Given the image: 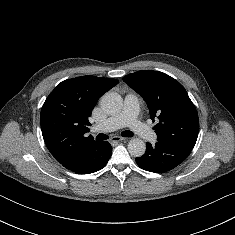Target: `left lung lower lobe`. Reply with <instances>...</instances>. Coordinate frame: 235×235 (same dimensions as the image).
I'll list each match as a JSON object with an SVG mask.
<instances>
[{"mask_svg":"<svg viewBox=\"0 0 235 235\" xmlns=\"http://www.w3.org/2000/svg\"><path fill=\"white\" fill-rule=\"evenodd\" d=\"M191 150L185 146L161 141L155 145L147 143L145 154L136 158V163L146 171L166 172L182 163Z\"/></svg>","mask_w":235,"mask_h":235,"instance_id":"obj_1","label":"left lung lower lobe"}]
</instances>
